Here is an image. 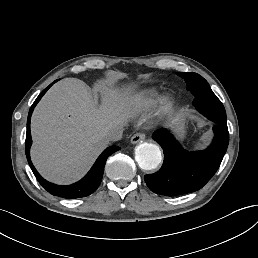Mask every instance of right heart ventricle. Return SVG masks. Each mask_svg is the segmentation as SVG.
I'll use <instances>...</instances> for the list:
<instances>
[{"mask_svg":"<svg viewBox=\"0 0 258 258\" xmlns=\"http://www.w3.org/2000/svg\"><path fill=\"white\" fill-rule=\"evenodd\" d=\"M158 97V91L156 89L146 90L142 95L132 101L131 106L137 113H143L150 110Z\"/></svg>","mask_w":258,"mask_h":258,"instance_id":"1","label":"right heart ventricle"}]
</instances>
